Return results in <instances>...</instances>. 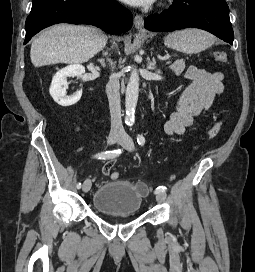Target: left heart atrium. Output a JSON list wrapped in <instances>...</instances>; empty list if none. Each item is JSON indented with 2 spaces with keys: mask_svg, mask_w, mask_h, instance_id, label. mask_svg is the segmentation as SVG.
Listing matches in <instances>:
<instances>
[{
  "mask_svg": "<svg viewBox=\"0 0 255 272\" xmlns=\"http://www.w3.org/2000/svg\"><path fill=\"white\" fill-rule=\"evenodd\" d=\"M134 6H148L155 2V0H122Z\"/></svg>",
  "mask_w": 255,
  "mask_h": 272,
  "instance_id": "obj_1",
  "label": "left heart atrium"
}]
</instances>
